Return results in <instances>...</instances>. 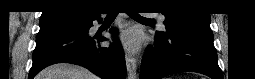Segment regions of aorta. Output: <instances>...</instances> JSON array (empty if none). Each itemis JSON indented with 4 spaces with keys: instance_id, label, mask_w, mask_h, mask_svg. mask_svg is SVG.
Returning <instances> with one entry per match:
<instances>
[{
    "instance_id": "aorta-1",
    "label": "aorta",
    "mask_w": 255,
    "mask_h": 79,
    "mask_svg": "<svg viewBox=\"0 0 255 79\" xmlns=\"http://www.w3.org/2000/svg\"><path fill=\"white\" fill-rule=\"evenodd\" d=\"M129 79H136V76L130 75Z\"/></svg>"
}]
</instances>
